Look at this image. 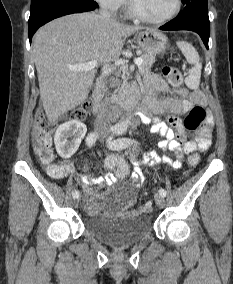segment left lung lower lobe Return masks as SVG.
<instances>
[{
  "label": "left lung lower lobe",
  "instance_id": "left-lung-lower-lobe-1",
  "mask_svg": "<svg viewBox=\"0 0 233 284\" xmlns=\"http://www.w3.org/2000/svg\"><path fill=\"white\" fill-rule=\"evenodd\" d=\"M161 30H190L198 33L208 49L210 22L207 0H194L186 4L184 10L173 20L166 23Z\"/></svg>",
  "mask_w": 233,
  "mask_h": 284
}]
</instances>
